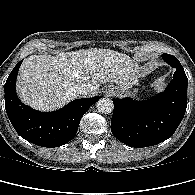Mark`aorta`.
Wrapping results in <instances>:
<instances>
[{"instance_id": "aorta-1", "label": "aorta", "mask_w": 195, "mask_h": 195, "mask_svg": "<svg viewBox=\"0 0 195 195\" xmlns=\"http://www.w3.org/2000/svg\"><path fill=\"white\" fill-rule=\"evenodd\" d=\"M96 107L98 112L102 114H110L114 109V104L111 99L102 98L97 101Z\"/></svg>"}]
</instances>
